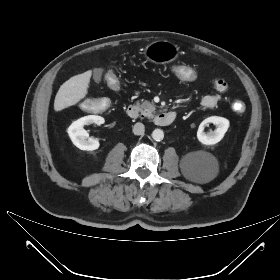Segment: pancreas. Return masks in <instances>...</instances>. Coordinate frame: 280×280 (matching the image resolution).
I'll list each match as a JSON object with an SVG mask.
<instances>
[{"label":"pancreas","instance_id":"pancreas-1","mask_svg":"<svg viewBox=\"0 0 280 280\" xmlns=\"http://www.w3.org/2000/svg\"><path fill=\"white\" fill-rule=\"evenodd\" d=\"M141 108V113L148 117L149 119L154 117L156 106L154 103H150L148 101H144L141 104H137Z\"/></svg>","mask_w":280,"mask_h":280}]
</instances>
